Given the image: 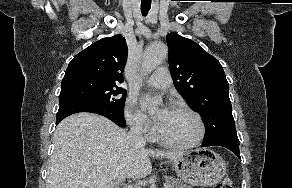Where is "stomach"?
Returning <instances> with one entry per match:
<instances>
[{"label":"stomach","instance_id":"obj_1","mask_svg":"<svg viewBox=\"0 0 292 188\" xmlns=\"http://www.w3.org/2000/svg\"><path fill=\"white\" fill-rule=\"evenodd\" d=\"M172 165L185 182L204 187L218 183L227 168L224 159L209 148L185 151L180 157L172 160Z\"/></svg>","mask_w":292,"mask_h":188}]
</instances>
